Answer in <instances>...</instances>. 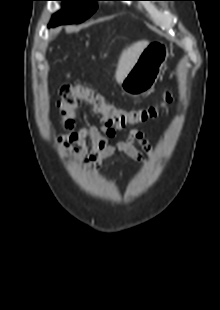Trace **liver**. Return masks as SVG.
<instances>
[{
    "instance_id": "liver-1",
    "label": "liver",
    "mask_w": 220,
    "mask_h": 310,
    "mask_svg": "<svg viewBox=\"0 0 220 310\" xmlns=\"http://www.w3.org/2000/svg\"><path fill=\"white\" fill-rule=\"evenodd\" d=\"M148 44L149 42L146 40L138 41L122 51L115 73V78L118 83H121L127 76Z\"/></svg>"
}]
</instances>
